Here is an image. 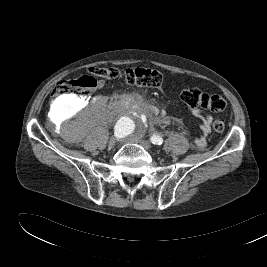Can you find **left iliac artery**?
<instances>
[{
	"label": "left iliac artery",
	"mask_w": 267,
	"mask_h": 267,
	"mask_svg": "<svg viewBox=\"0 0 267 267\" xmlns=\"http://www.w3.org/2000/svg\"><path fill=\"white\" fill-rule=\"evenodd\" d=\"M150 141L154 145H161L163 143V138L161 136H158V135H153V136H151Z\"/></svg>",
	"instance_id": "1"
}]
</instances>
